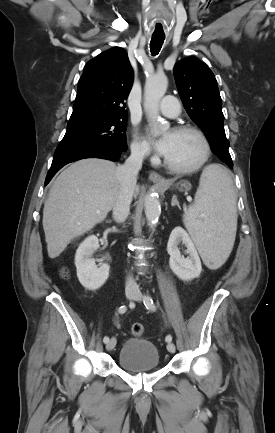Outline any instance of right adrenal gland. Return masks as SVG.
Segmentation results:
<instances>
[{
	"label": "right adrenal gland",
	"mask_w": 275,
	"mask_h": 433,
	"mask_svg": "<svg viewBox=\"0 0 275 433\" xmlns=\"http://www.w3.org/2000/svg\"><path fill=\"white\" fill-rule=\"evenodd\" d=\"M107 223H111V221H106Z\"/></svg>",
	"instance_id": "right-adrenal-gland-1"
}]
</instances>
